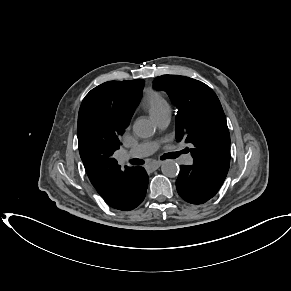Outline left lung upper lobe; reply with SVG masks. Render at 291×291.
Here are the masks:
<instances>
[{
    "label": "left lung upper lobe",
    "instance_id": "5c2ea615",
    "mask_svg": "<svg viewBox=\"0 0 291 291\" xmlns=\"http://www.w3.org/2000/svg\"><path fill=\"white\" fill-rule=\"evenodd\" d=\"M154 86L165 91L178 108L176 139L192 144L193 163L226 178L230 165V134L220 101L201 81L162 75Z\"/></svg>",
    "mask_w": 291,
    "mask_h": 291
}]
</instances>
